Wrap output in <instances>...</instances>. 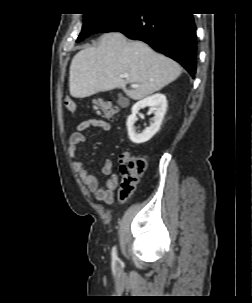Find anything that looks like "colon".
Here are the masks:
<instances>
[{
	"label": "colon",
	"mask_w": 252,
	"mask_h": 303,
	"mask_svg": "<svg viewBox=\"0 0 252 303\" xmlns=\"http://www.w3.org/2000/svg\"><path fill=\"white\" fill-rule=\"evenodd\" d=\"M92 103L93 106L107 119L112 118L117 112V107L111 102L94 99ZM64 105L69 112L73 113L76 111V103L73 98H66L64 100ZM146 166V158L143 156L128 153H125L122 156V163L120 166L122 183L119 193L121 201H126L131 197L136 185L146 170Z\"/></svg>",
	"instance_id": "1"
}]
</instances>
